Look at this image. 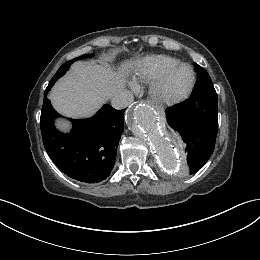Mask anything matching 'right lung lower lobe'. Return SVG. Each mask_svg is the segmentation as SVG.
<instances>
[{"label":"right lung lower lobe","mask_w":260,"mask_h":260,"mask_svg":"<svg viewBox=\"0 0 260 260\" xmlns=\"http://www.w3.org/2000/svg\"><path fill=\"white\" fill-rule=\"evenodd\" d=\"M44 93L40 126L44 147L54 164L67 176L85 183L106 179L115 164L123 132L124 110L104 105L92 118L72 120L69 134L58 132L53 124L58 113Z\"/></svg>","instance_id":"right-lung-lower-lobe-1"}]
</instances>
